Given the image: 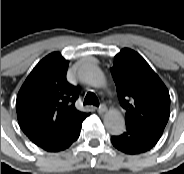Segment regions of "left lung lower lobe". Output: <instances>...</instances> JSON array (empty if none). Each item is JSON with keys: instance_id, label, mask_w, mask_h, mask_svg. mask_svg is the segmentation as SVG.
Instances as JSON below:
<instances>
[{"instance_id": "obj_1", "label": "left lung lower lobe", "mask_w": 184, "mask_h": 174, "mask_svg": "<svg viewBox=\"0 0 184 174\" xmlns=\"http://www.w3.org/2000/svg\"><path fill=\"white\" fill-rule=\"evenodd\" d=\"M161 136L126 126L120 136H112V144L127 154H139L150 150Z\"/></svg>"}]
</instances>
